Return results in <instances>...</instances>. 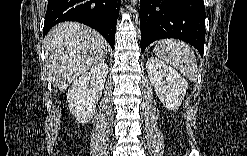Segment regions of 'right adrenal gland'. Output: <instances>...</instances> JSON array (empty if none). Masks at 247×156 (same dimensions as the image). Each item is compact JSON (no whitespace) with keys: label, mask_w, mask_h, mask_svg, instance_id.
I'll list each match as a JSON object with an SVG mask.
<instances>
[{"label":"right adrenal gland","mask_w":247,"mask_h":156,"mask_svg":"<svg viewBox=\"0 0 247 156\" xmlns=\"http://www.w3.org/2000/svg\"><path fill=\"white\" fill-rule=\"evenodd\" d=\"M102 62H105V58H103Z\"/></svg>","instance_id":"obj_1"}]
</instances>
